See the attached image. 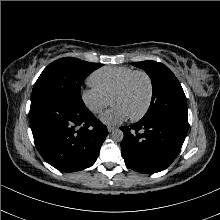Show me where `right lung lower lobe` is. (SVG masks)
Instances as JSON below:
<instances>
[{"label": "right lung lower lobe", "instance_id": "obj_1", "mask_svg": "<svg viewBox=\"0 0 220 220\" xmlns=\"http://www.w3.org/2000/svg\"><path fill=\"white\" fill-rule=\"evenodd\" d=\"M29 119L37 150L63 172L93 165L108 134L85 105L55 96L31 98Z\"/></svg>", "mask_w": 220, "mask_h": 220}]
</instances>
